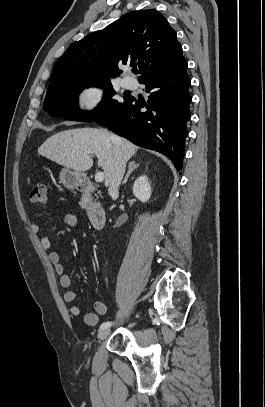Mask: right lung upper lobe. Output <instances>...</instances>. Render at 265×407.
Masks as SVG:
<instances>
[{"instance_id":"1","label":"right lung upper lobe","mask_w":265,"mask_h":407,"mask_svg":"<svg viewBox=\"0 0 265 407\" xmlns=\"http://www.w3.org/2000/svg\"><path fill=\"white\" fill-rule=\"evenodd\" d=\"M182 52L176 32L158 11L130 13L73 43L55 64L49 85L66 81L109 80L118 64L138 66L145 76Z\"/></svg>"}]
</instances>
